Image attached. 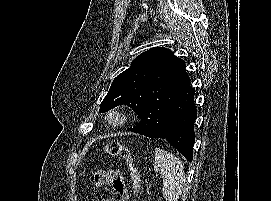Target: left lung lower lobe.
Here are the masks:
<instances>
[{
  "mask_svg": "<svg viewBox=\"0 0 271 201\" xmlns=\"http://www.w3.org/2000/svg\"><path fill=\"white\" fill-rule=\"evenodd\" d=\"M190 80L186 78L175 101L169 111L166 126L159 138L166 139L188 161L193 159V146L195 140L194 122L197 110L194 105V89L190 86ZM134 133L142 134L143 127L139 123L131 129Z\"/></svg>",
  "mask_w": 271,
  "mask_h": 201,
  "instance_id": "1",
  "label": "left lung lower lobe"
}]
</instances>
